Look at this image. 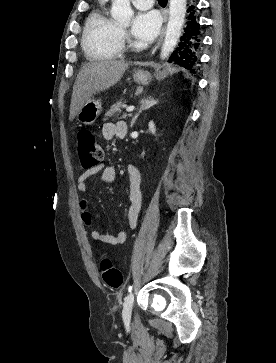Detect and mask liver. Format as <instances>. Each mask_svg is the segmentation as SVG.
Returning <instances> with one entry per match:
<instances>
[{
  "instance_id": "1",
  "label": "liver",
  "mask_w": 276,
  "mask_h": 363,
  "mask_svg": "<svg viewBox=\"0 0 276 363\" xmlns=\"http://www.w3.org/2000/svg\"><path fill=\"white\" fill-rule=\"evenodd\" d=\"M129 63L117 60L93 61L78 73L71 99L69 120H73L83 104L94 94L109 89L123 76Z\"/></svg>"
}]
</instances>
